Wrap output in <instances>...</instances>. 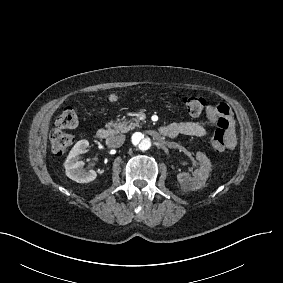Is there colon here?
Masks as SVG:
<instances>
[{"label":"colon","instance_id":"1","mask_svg":"<svg viewBox=\"0 0 283 283\" xmlns=\"http://www.w3.org/2000/svg\"><path fill=\"white\" fill-rule=\"evenodd\" d=\"M189 115H199L206 107L207 100L201 95H183L179 98ZM78 124L77 111L73 107L65 108L56 121L57 128L50 133V145L53 153L63 154L72 146V137L65 131L66 128L74 127ZM230 126V119H221L219 117L216 129L212 135L211 143L215 151L225 149V133Z\"/></svg>","mask_w":283,"mask_h":283}]
</instances>
